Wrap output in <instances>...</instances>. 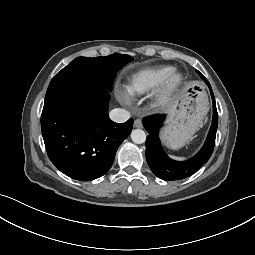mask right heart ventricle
I'll return each instance as SVG.
<instances>
[{"instance_id":"right-heart-ventricle-1","label":"right heart ventricle","mask_w":255,"mask_h":255,"mask_svg":"<svg viewBox=\"0 0 255 255\" xmlns=\"http://www.w3.org/2000/svg\"><path fill=\"white\" fill-rule=\"evenodd\" d=\"M174 72L172 66H153L135 72L128 89L133 94H146L159 88Z\"/></svg>"}]
</instances>
